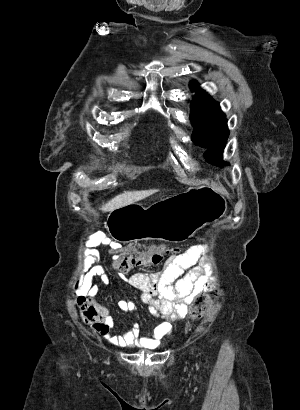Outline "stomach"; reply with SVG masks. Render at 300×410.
I'll return each instance as SVG.
<instances>
[{"label":"stomach","instance_id":"1","mask_svg":"<svg viewBox=\"0 0 300 410\" xmlns=\"http://www.w3.org/2000/svg\"><path fill=\"white\" fill-rule=\"evenodd\" d=\"M226 210L222 193L199 186L149 207L133 203L114 209L108 214L107 229L120 242L157 239L179 243L222 218Z\"/></svg>","mask_w":300,"mask_h":410}]
</instances>
